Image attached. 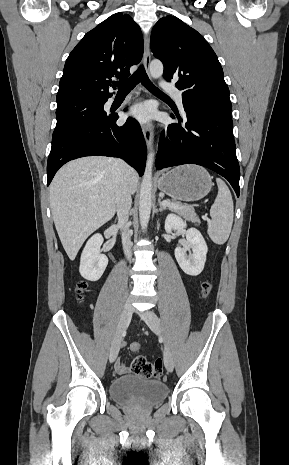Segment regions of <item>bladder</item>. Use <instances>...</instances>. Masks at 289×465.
<instances>
[{"label": "bladder", "instance_id": "bladder-1", "mask_svg": "<svg viewBox=\"0 0 289 465\" xmlns=\"http://www.w3.org/2000/svg\"><path fill=\"white\" fill-rule=\"evenodd\" d=\"M109 395L122 405L152 407L166 399L168 386L156 379L126 375L110 383Z\"/></svg>", "mask_w": 289, "mask_h": 465}]
</instances>
